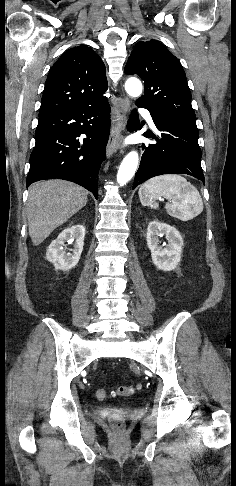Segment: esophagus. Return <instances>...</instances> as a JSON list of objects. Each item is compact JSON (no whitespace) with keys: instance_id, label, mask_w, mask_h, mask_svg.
I'll return each instance as SVG.
<instances>
[{"instance_id":"34e87169","label":"esophagus","mask_w":236,"mask_h":486,"mask_svg":"<svg viewBox=\"0 0 236 486\" xmlns=\"http://www.w3.org/2000/svg\"><path fill=\"white\" fill-rule=\"evenodd\" d=\"M128 109L129 100L125 97H117L113 106L112 124L106 150L107 157L121 148Z\"/></svg>"}]
</instances>
